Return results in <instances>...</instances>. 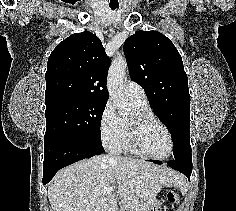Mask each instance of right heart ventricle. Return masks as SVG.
I'll use <instances>...</instances> for the list:
<instances>
[{
  "label": "right heart ventricle",
  "instance_id": "right-heart-ventricle-1",
  "mask_svg": "<svg viewBox=\"0 0 236 211\" xmlns=\"http://www.w3.org/2000/svg\"><path fill=\"white\" fill-rule=\"evenodd\" d=\"M131 102L135 107V111H143V112H147V113L153 115L150 108L148 107L147 103L140 104V103H137L134 101H131ZM126 120L127 119H125V118L121 119V126H122L121 134H120V137L118 138L116 144L114 145L113 149L116 152L134 153L133 150L128 146L127 141H126Z\"/></svg>",
  "mask_w": 236,
  "mask_h": 211
}]
</instances>
